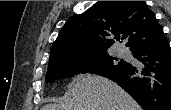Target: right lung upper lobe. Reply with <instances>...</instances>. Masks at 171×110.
<instances>
[{"label":"right lung upper lobe","mask_w":171,"mask_h":110,"mask_svg":"<svg viewBox=\"0 0 171 110\" xmlns=\"http://www.w3.org/2000/svg\"><path fill=\"white\" fill-rule=\"evenodd\" d=\"M128 39L135 50L158 41L164 33L144 1H98L61 29L51 47L49 62L58 56L107 50L114 40Z\"/></svg>","instance_id":"right-lung-upper-lobe-1"}]
</instances>
